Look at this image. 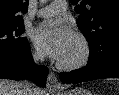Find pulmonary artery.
Segmentation results:
<instances>
[{"instance_id":"e3ab8cb5","label":"pulmonary artery","mask_w":119,"mask_h":95,"mask_svg":"<svg viewBox=\"0 0 119 95\" xmlns=\"http://www.w3.org/2000/svg\"><path fill=\"white\" fill-rule=\"evenodd\" d=\"M67 12V2L65 0H57L50 5L39 10L38 15L41 17H51L64 14Z\"/></svg>"}]
</instances>
